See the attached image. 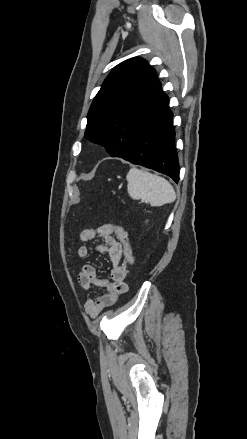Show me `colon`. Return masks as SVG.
<instances>
[{"label": "colon", "mask_w": 247, "mask_h": 439, "mask_svg": "<svg viewBox=\"0 0 247 439\" xmlns=\"http://www.w3.org/2000/svg\"><path fill=\"white\" fill-rule=\"evenodd\" d=\"M115 235L123 247L124 266L131 268L134 264L133 250L129 241L128 233L119 225L113 223L105 224Z\"/></svg>", "instance_id": "1"}]
</instances>
